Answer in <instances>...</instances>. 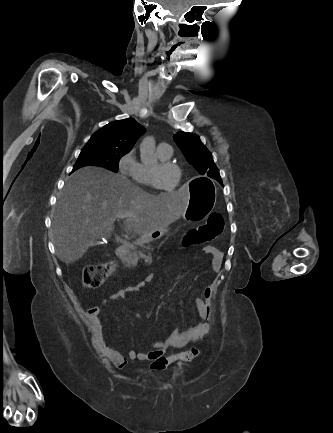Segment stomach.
I'll list each match as a JSON object with an SVG mask.
<instances>
[{
    "label": "stomach",
    "instance_id": "obj_1",
    "mask_svg": "<svg viewBox=\"0 0 333 433\" xmlns=\"http://www.w3.org/2000/svg\"><path fill=\"white\" fill-rule=\"evenodd\" d=\"M216 186L208 177H195L191 187V197L187 213L183 215L184 219L191 225H196L201 219L206 218L214 209L216 201ZM167 232V228H163L158 232H154L149 237L156 239L162 237Z\"/></svg>",
    "mask_w": 333,
    "mask_h": 433
}]
</instances>
